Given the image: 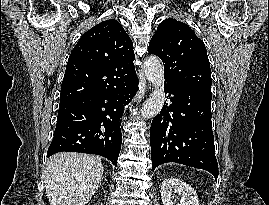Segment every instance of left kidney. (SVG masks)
<instances>
[{"label": "left kidney", "mask_w": 269, "mask_h": 205, "mask_svg": "<svg viewBox=\"0 0 269 205\" xmlns=\"http://www.w3.org/2000/svg\"><path fill=\"white\" fill-rule=\"evenodd\" d=\"M161 199L163 205H200L194 189L177 178L163 180Z\"/></svg>", "instance_id": "1"}]
</instances>
